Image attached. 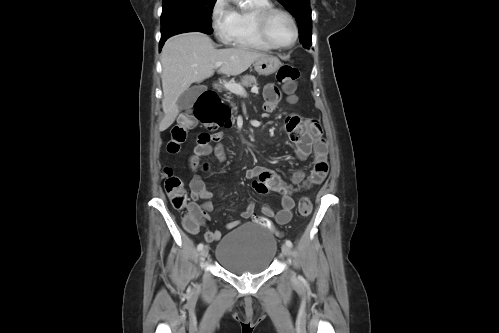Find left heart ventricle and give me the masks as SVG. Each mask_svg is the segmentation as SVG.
I'll list each match as a JSON object with an SVG mask.
<instances>
[{
    "instance_id": "left-heart-ventricle-1",
    "label": "left heart ventricle",
    "mask_w": 499,
    "mask_h": 333,
    "mask_svg": "<svg viewBox=\"0 0 499 333\" xmlns=\"http://www.w3.org/2000/svg\"><path fill=\"white\" fill-rule=\"evenodd\" d=\"M268 32L272 40L278 45H287L293 39L291 22L281 13H275L271 16L268 22Z\"/></svg>"
}]
</instances>
